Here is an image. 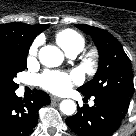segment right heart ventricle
I'll return each instance as SVG.
<instances>
[{
	"label": "right heart ventricle",
	"mask_w": 136,
	"mask_h": 136,
	"mask_svg": "<svg viewBox=\"0 0 136 136\" xmlns=\"http://www.w3.org/2000/svg\"><path fill=\"white\" fill-rule=\"evenodd\" d=\"M56 41L67 54L74 51L80 52L85 44L83 36L73 29L58 32Z\"/></svg>",
	"instance_id": "obj_1"
}]
</instances>
